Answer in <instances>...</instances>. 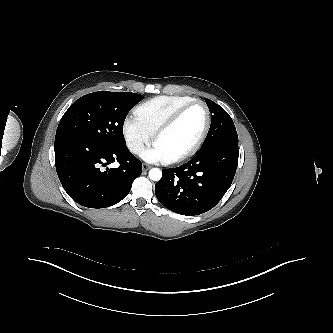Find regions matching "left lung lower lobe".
Instances as JSON below:
<instances>
[{"label": "left lung lower lobe", "mask_w": 333, "mask_h": 333, "mask_svg": "<svg viewBox=\"0 0 333 333\" xmlns=\"http://www.w3.org/2000/svg\"><path fill=\"white\" fill-rule=\"evenodd\" d=\"M238 142L201 148L186 164L163 169L155 194L166 208L187 216L212 209L229 189L238 165Z\"/></svg>", "instance_id": "1"}]
</instances>
